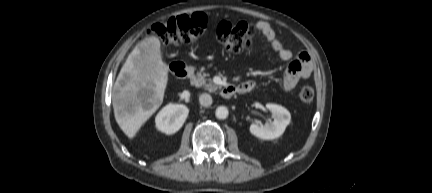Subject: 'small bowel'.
Returning a JSON list of instances; mask_svg holds the SVG:
<instances>
[{
    "instance_id": "obj_1",
    "label": "small bowel",
    "mask_w": 432,
    "mask_h": 193,
    "mask_svg": "<svg viewBox=\"0 0 432 193\" xmlns=\"http://www.w3.org/2000/svg\"><path fill=\"white\" fill-rule=\"evenodd\" d=\"M255 26L267 39L278 60L283 63H289L282 80V86L285 91H291L301 80L310 77L313 65L307 53L301 52L297 56H294L293 52L285 48L278 40L275 30L270 23L258 21ZM238 87L239 92L245 93L251 91L255 87V83L251 80H246L240 83Z\"/></svg>"
}]
</instances>
